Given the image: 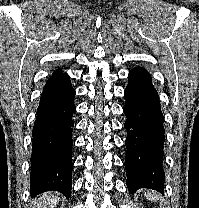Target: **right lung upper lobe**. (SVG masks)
Segmentation results:
<instances>
[{"mask_svg":"<svg viewBox=\"0 0 199 208\" xmlns=\"http://www.w3.org/2000/svg\"><path fill=\"white\" fill-rule=\"evenodd\" d=\"M61 75H63V74H61V70H57V71L51 76V78L59 77V76H61Z\"/></svg>","mask_w":199,"mask_h":208,"instance_id":"1","label":"right lung upper lobe"}]
</instances>
